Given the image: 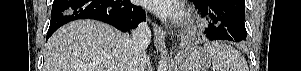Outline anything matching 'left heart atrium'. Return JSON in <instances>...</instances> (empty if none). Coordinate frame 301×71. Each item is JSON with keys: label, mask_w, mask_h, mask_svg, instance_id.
Here are the masks:
<instances>
[{"label": "left heart atrium", "mask_w": 301, "mask_h": 71, "mask_svg": "<svg viewBox=\"0 0 301 71\" xmlns=\"http://www.w3.org/2000/svg\"><path fill=\"white\" fill-rule=\"evenodd\" d=\"M143 4L148 9L175 21L184 18V10L176 0H144Z\"/></svg>", "instance_id": "obj_1"}]
</instances>
